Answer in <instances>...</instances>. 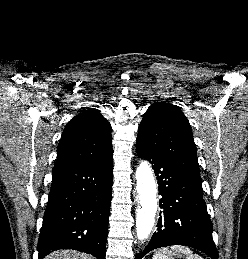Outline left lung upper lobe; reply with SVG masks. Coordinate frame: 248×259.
Segmentation results:
<instances>
[{
  "label": "left lung upper lobe",
  "instance_id": "obj_1",
  "mask_svg": "<svg viewBox=\"0 0 248 259\" xmlns=\"http://www.w3.org/2000/svg\"><path fill=\"white\" fill-rule=\"evenodd\" d=\"M136 143L164 157L192 180L202 182L191 126L177 106L152 104L139 125Z\"/></svg>",
  "mask_w": 248,
  "mask_h": 259
}]
</instances>
